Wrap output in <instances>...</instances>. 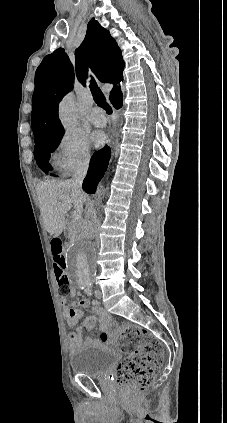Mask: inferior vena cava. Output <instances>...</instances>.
Wrapping results in <instances>:
<instances>
[{
    "mask_svg": "<svg viewBox=\"0 0 227 423\" xmlns=\"http://www.w3.org/2000/svg\"><path fill=\"white\" fill-rule=\"evenodd\" d=\"M89 168V158H86V160H83V162H80V164H77L75 170H74V174H73V178H72V188H74V190H77V192H82V184H83V180L87 174V170ZM95 223V219H93L92 223H89V235H91V237H95V231H94V225Z\"/></svg>",
    "mask_w": 227,
    "mask_h": 423,
    "instance_id": "obj_1",
    "label": "inferior vena cava"
}]
</instances>
